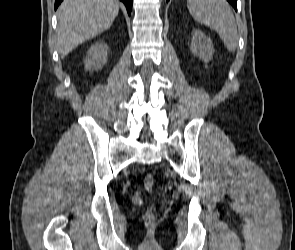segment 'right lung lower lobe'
I'll return each instance as SVG.
<instances>
[{"instance_id":"98d812e1","label":"right lung lower lobe","mask_w":295,"mask_h":250,"mask_svg":"<svg viewBox=\"0 0 295 250\" xmlns=\"http://www.w3.org/2000/svg\"><path fill=\"white\" fill-rule=\"evenodd\" d=\"M63 0H55V9H57V7L59 6V4L62 2ZM126 8H127V12L130 15L131 14V9H132V0H121Z\"/></svg>"}]
</instances>
